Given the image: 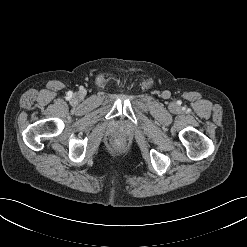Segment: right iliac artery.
<instances>
[{
    "label": "right iliac artery",
    "mask_w": 247,
    "mask_h": 247,
    "mask_svg": "<svg viewBox=\"0 0 247 247\" xmlns=\"http://www.w3.org/2000/svg\"><path fill=\"white\" fill-rule=\"evenodd\" d=\"M68 95H69V96H72V92H71V91H69V92H68Z\"/></svg>",
    "instance_id": "82829eb1"
}]
</instances>
